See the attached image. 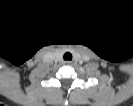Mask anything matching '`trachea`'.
I'll list each match as a JSON object with an SVG mask.
<instances>
[{
    "label": "trachea",
    "mask_w": 133,
    "mask_h": 106,
    "mask_svg": "<svg viewBox=\"0 0 133 106\" xmlns=\"http://www.w3.org/2000/svg\"><path fill=\"white\" fill-rule=\"evenodd\" d=\"M63 57L64 60H72V54L69 52H66Z\"/></svg>",
    "instance_id": "obj_1"
}]
</instances>
